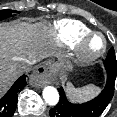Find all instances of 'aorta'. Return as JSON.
Listing matches in <instances>:
<instances>
[{"label":"aorta","mask_w":117,"mask_h":117,"mask_svg":"<svg viewBox=\"0 0 117 117\" xmlns=\"http://www.w3.org/2000/svg\"><path fill=\"white\" fill-rule=\"evenodd\" d=\"M43 98L50 106H55L59 101V93L53 86H46L43 89Z\"/></svg>","instance_id":"aorta-1"}]
</instances>
